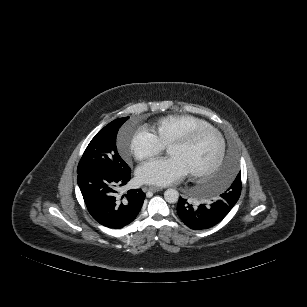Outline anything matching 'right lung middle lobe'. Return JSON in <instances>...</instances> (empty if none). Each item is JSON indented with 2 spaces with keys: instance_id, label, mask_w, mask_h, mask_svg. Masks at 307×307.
Here are the masks:
<instances>
[{
  "instance_id": "1",
  "label": "right lung middle lobe",
  "mask_w": 307,
  "mask_h": 307,
  "mask_svg": "<svg viewBox=\"0 0 307 307\" xmlns=\"http://www.w3.org/2000/svg\"><path fill=\"white\" fill-rule=\"evenodd\" d=\"M128 119L129 117L116 119L96 134L78 164V174L97 170L122 175L131 171L120 157L116 146L118 130Z\"/></svg>"
}]
</instances>
